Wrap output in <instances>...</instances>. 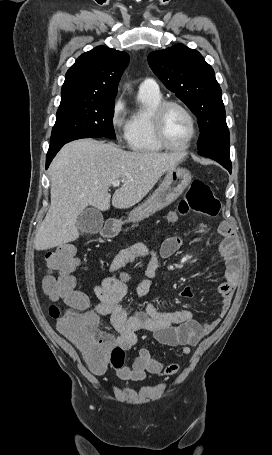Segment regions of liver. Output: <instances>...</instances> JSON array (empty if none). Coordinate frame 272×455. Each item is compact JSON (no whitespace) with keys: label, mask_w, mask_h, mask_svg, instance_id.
I'll return each instance as SVG.
<instances>
[{"label":"liver","mask_w":272,"mask_h":455,"mask_svg":"<svg viewBox=\"0 0 272 455\" xmlns=\"http://www.w3.org/2000/svg\"><path fill=\"white\" fill-rule=\"evenodd\" d=\"M184 154L124 151L113 143L80 139L66 144L53 159L50 172L51 205L37 230L34 247L48 250L79 238L78 216L89 205L110 208L108 192L115 180L123 185L112 205L127 209L139 203L160 177L175 168Z\"/></svg>","instance_id":"liver-1"}]
</instances>
